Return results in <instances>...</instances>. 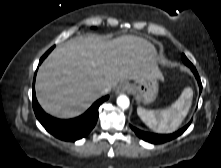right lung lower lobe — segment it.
<instances>
[{
    "label": "right lung lower lobe",
    "mask_w": 221,
    "mask_h": 168,
    "mask_svg": "<svg viewBox=\"0 0 221 168\" xmlns=\"http://www.w3.org/2000/svg\"><path fill=\"white\" fill-rule=\"evenodd\" d=\"M52 49L53 47L43 55L39 64H41ZM34 83L35 78L33 82V109L37 119L50 134L64 141L74 142L88 135L97 122L99 106L109 98L105 96L97 100L83 115L77 118L69 120L56 119L46 114L38 104Z\"/></svg>",
    "instance_id": "1"
}]
</instances>
